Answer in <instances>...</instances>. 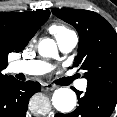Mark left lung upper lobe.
Segmentation results:
<instances>
[{
    "mask_svg": "<svg viewBox=\"0 0 117 117\" xmlns=\"http://www.w3.org/2000/svg\"><path fill=\"white\" fill-rule=\"evenodd\" d=\"M79 34L75 67L85 70L87 88L117 93V34L99 14L82 9H53Z\"/></svg>",
    "mask_w": 117,
    "mask_h": 117,
    "instance_id": "obj_1",
    "label": "left lung upper lobe"
}]
</instances>
